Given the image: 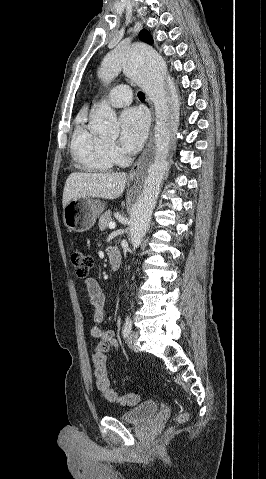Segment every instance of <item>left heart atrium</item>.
Masks as SVG:
<instances>
[{
  "instance_id": "left-heart-atrium-1",
  "label": "left heart atrium",
  "mask_w": 266,
  "mask_h": 479,
  "mask_svg": "<svg viewBox=\"0 0 266 479\" xmlns=\"http://www.w3.org/2000/svg\"><path fill=\"white\" fill-rule=\"evenodd\" d=\"M121 143L125 151L137 152L145 141L148 132L149 120L144 110L130 108L120 117Z\"/></svg>"
}]
</instances>
